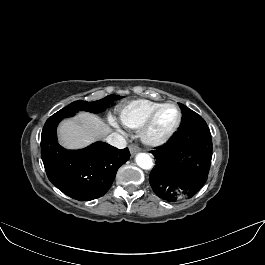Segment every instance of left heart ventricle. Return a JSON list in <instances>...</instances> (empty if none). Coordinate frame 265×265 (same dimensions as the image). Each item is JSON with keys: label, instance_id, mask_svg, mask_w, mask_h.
Here are the masks:
<instances>
[{"label": "left heart ventricle", "instance_id": "obj_1", "mask_svg": "<svg viewBox=\"0 0 265 265\" xmlns=\"http://www.w3.org/2000/svg\"><path fill=\"white\" fill-rule=\"evenodd\" d=\"M177 118V111L172 106L162 108L157 114L151 128V135L154 137L165 133L174 124Z\"/></svg>", "mask_w": 265, "mask_h": 265}]
</instances>
